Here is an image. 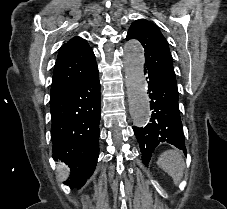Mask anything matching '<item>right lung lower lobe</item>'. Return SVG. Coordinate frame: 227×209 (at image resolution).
Returning <instances> with one entry per match:
<instances>
[{
	"instance_id": "1",
	"label": "right lung lower lobe",
	"mask_w": 227,
	"mask_h": 209,
	"mask_svg": "<svg viewBox=\"0 0 227 209\" xmlns=\"http://www.w3.org/2000/svg\"><path fill=\"white\" fill-rule=\"evenodd\" d=\"M81 82L62 96L50 99L53 159L69 165L73 188H81L93 174L99 156L100 82L97 64L66 69Z\"/></svg>"
}]
</instances>
